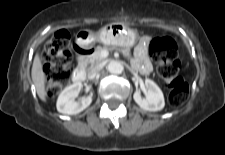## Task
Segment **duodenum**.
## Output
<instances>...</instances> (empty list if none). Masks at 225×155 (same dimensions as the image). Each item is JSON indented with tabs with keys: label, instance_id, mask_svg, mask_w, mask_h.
Returning a JSON list of instances; mask_svg holds the SVG:
<instances>
[{
	"label": "duodenum",
	"instance_id": "410a0bca",
	"mask_svg": "<svg viewBox=\"0 0 225 155\" xmlns=\"http://www.w3.org/2000/svg\"><path fill=\"white\" fill-rule=\"evenodd\" d=\"M77 53L81 63L74 70L72 80L74 83L78 84V83H82L86 78V73H85L84 66L82 64V60L84 59L85 56H87L90 53V51L83 47H77Z\"/></svg>",
	"mask_w": 225,
	"mask_h": 155
}]
</instances>
